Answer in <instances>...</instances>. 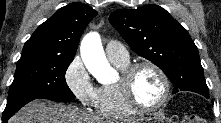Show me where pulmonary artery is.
Wrapping results in <instances>:
<instances>
[{
	"label": "pulmonary artery",
	"instance_id": "1",
	"mask_svg": "<svg viewBox=\"0 0 221 123\" xmlns=\"http://www.w3.org/2000/svg\"><path fill=\"white\" fill-rule=\"evenodd\" d=\"M106 55L111 62L127 63L129 62V53L127 49L118 41L111 40L107 43Z\"/></svg>",
	"mask_w": 221,
	"mask_h": 123
}]
</instances>
